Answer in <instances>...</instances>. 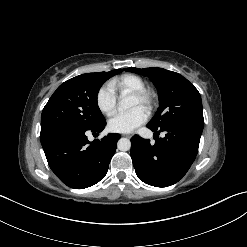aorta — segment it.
<instances>
[{"instance_id": "obj_1", "label": "aorta", "mask_w": 247, "mask_h": 247, "mask_svg": "<svg viewBox=\"0 0 247 247\" xmlns=\"http://www.w3.org/2000/svg\"><path fill=\"white\" fill-rule=\"evenodd\" d=\"M132 106V102L128 98H122L119 101V109L120 110H125L128 109ZM117 148L120 151H128L131 148V142L128 138H120L117 142Z\"/></svg>"}]
</instances>
